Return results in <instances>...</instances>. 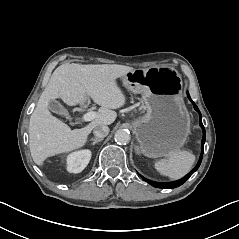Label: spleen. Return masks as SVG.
Instances as JSON below:
<instances>
[{
  "label": "spleen",
  "instance_id": "obj_1",
  "mask_svg": "<svg viewBox=\"0 0 239 239\" xmlns=\"http://www.w3.org/2000/svg\"><path fill=\"white\" fill-rule=\"evenodd\" d=\"M195 155L188 151H179L171 154L168 159L155 163L156 170L173 180H178L188 174L195 162Z\"/></svg>",
  "mask_w": 239,
  "mask_h": 239
}]
</instances>
